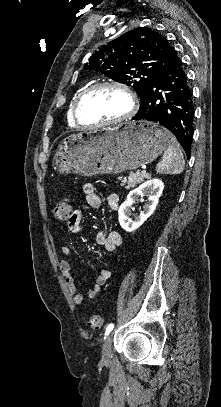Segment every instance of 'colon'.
Masks as SVG:
<instances>
[{
    "instance_id": "1",
    "label": "colon",
    "mask_w": 221,
    "mask_h": 407,
    "mask_svg": "<svg viewBox=\"0 0 221 407\" xmlns=\"http://www.w3.org/2000/svg\"><path fill=\"white\" fill-rule=\"evenodd\" d=\"M73 206L69 199L59 201L54 208V217L58 221H67L73 215ZM103 325V316L99 313L92 314L88 321L89 328L98 330Z\"/></svg>"
}]
</instances>
